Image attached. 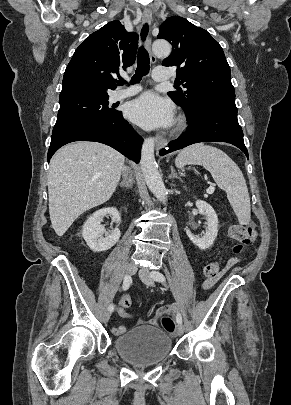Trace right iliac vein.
Returning <instances> with one entry per match:
<instances>
[{
    "label": "right iliac vein",
    "mask_w": 291,
    "mask_h": 405,
    "mask_svg": "<svg viewBox=\"0 0 291 405\" xmlns=\"http://www.w3.org/2000/svg\"><path fill=\"white\" fill-rule=\"evenodd\" d=\"M136 271H137L136 264L131 262L126 266V274L127 275H129V276L133 275V274H135ZM110 316H111V311H109V310L104 311V313H103V321L108 322L109 319H110Z\"/></svg>",
    "instance_id": "obj_1"
}]
</instances>
